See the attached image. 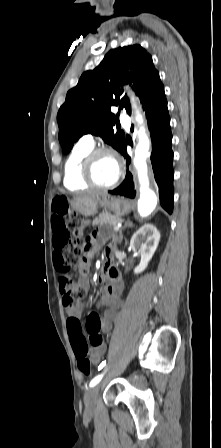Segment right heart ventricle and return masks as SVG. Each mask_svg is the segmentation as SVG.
Segmentation results:
<instances>
[{
  "label": "right heart ventricle",
  "mask_w": 221,
  "mask_h": 448,
  "mask_svg": "<svg viewBox=\"0 0 221 448\" xmlns=\"http://www.w3.org/2000/svg\"><path fill=\"white\" fill-rule=\"evenodd\" d=\"M93 146L77 143L68 155L64 166V186L70 190H84L89 187L81 177V163Z\"/></svg>",
  "instance_id": "right-heart-ventricle-1"
}]
</instances>
